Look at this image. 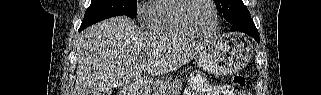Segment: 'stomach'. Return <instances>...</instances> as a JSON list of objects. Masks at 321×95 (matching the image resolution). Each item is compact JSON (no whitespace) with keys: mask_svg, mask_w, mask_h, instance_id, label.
<instances>
[{"mask_svg":"<svg viewBox=\"0 0 321 95\" xmlns=\"http://www.w3.org/2000/svg\"><path fill=\"white\" fill-rule=\"evenodd\" d=\"M251 55L252 48L239 34H228L207 42L196 55V63L204 71L227 75L241 70Z\"/></svg>","mask_w":321,"mask_h":95,"instance_id":"stomach-1","label":"stomach"}]
</instances>
